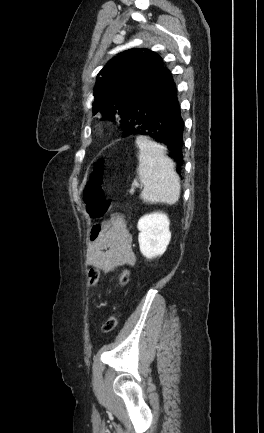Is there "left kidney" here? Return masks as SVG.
Segmentation results:
<instances>
[{
  "mask_svg": "<svg viewBox=\"0 0 264 433\" xmlns=\"http://www.w3.org/2000/svg\"><path fill=\"white\" fill-rule=\"evenodd\" d=\"M169 225L167 215L162 212H153L139 219V247L147 259L161 256L166 251L171 239Z\"/></svg>",
  "mask_w": 264,
  "mask_h": 433,
  "instance_id": "5707ae66",
  "label": "left kidney"
}]
</instances>
